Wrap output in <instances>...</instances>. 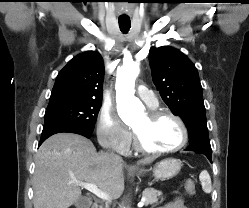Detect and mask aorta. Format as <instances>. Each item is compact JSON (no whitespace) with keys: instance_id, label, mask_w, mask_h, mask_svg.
<instances>
[{"instance_id":"obj_1","label":"aorta","mask_w":249,"mask_h":208,"mask_svg":"<svg viewBox=\"0 0 249 208\" xmlns=\"http://www.w3.org/2000/svg\"><path fill=\"white\" fill-rule=\"evenodd\" d=\"M139 74V66L135 63L124 64L117 70L116 78V102L118 115L126 124L144 113V106L134 96L135 79Z\"/></svg>"}]
</instances>
